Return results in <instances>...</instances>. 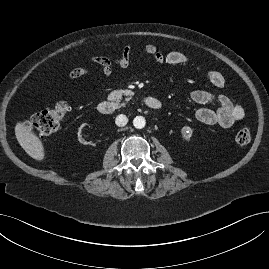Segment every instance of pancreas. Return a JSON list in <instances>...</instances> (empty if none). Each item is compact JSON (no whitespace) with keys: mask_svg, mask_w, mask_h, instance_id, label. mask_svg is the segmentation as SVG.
I'll list each match as a JSON object with an SVG mask.
<instances>
[{"mask_svg":"<svg viewBox=\"0 0 269 269\" xmlns=\"http://www.w3.org/2000/svg\"><path fill=\"white\" fill-rule=\"evenodd\" d=\"M128 96L126 98V101H129L132 96L134 95V92L131 90H114L108 95V99L120 101L122 100V96Z\"/></svg>","mask_w":269,"mask_h":269,"instance_id":"1","label":"pancreas"}]
</instances>
